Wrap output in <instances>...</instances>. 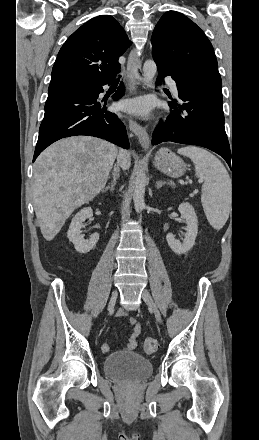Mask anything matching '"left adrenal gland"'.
<instances>
[{
  "label": "left adrenal gland",
  "instance_id": "left-adrenal-gland-1",
  "mask_svg": "<svg viewBox=\"0 0 259 440\" xmlns=\"http://www.w3.org/2000/svg\"><path fill=\"white\" fill-rule=\"evenodd\" d=\"M165 184H167L166 182H164V181H157L156 182V188L157 189H160L163 185H165Z\"/></svg>",
  "mask_w": 259,
  "mask_h": 440
}]
</instances>
